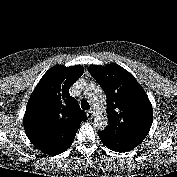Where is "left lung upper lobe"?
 Returning a JSON list of instances; mask_svg holds the SVG:
<instances>
[{
  "label": "left lung upper lobe",
  "instance_id": "left-lung-upper-lobe-1",
  "mask_svg": "<svg viewBox=\"0 0 177 177\" xmlns=\"http://www.w3.org/2000/svg\"><path fill=\"white\" fill-rule=\"evenodd\" d=\"M89 73L107 96L109 125L98 133L101 141L135 148L147 136L153 121V108L147 94L124 68L111 63L90 66Z\"/></svg>",
  "mask_w": 177,
  "mask_h": 177
}]
</instances>
